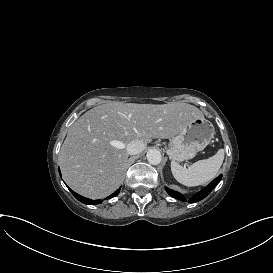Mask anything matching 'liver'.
<instances>
[{"instance_id": "liver-1", "label": "liver", "mask_w": 273, "mask_h": 273, "mask_svg": "<svg viewBox=\"0 0 273 273\" xmlns=\"http://www.w3.org/2000/svg\"><path fill=\"white\" fill-rule=\"evenodd\" d=\"M203 116L198 107L181 102L96 106L68 130L59 153L64 181L86 198H105L123 183L128 143L173 137L189 121Z\"/></svg>"}]
</instances>
